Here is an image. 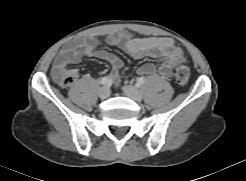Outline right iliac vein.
Wrapping results in <instances>:
<instances>
[{"instance_id":"1","label":"right iliac vein","mask_w":246,"mask_h":181,"mask_svg":"<svg viewBox=\"0 0 246 181\" xmlns=\"http://www.w3.org/2000/svg\"><path fill=\"white\" fill-rule=\"evenodd\" d=\"M98 95L101 99H106L110 95V89L107 86H104L99 89Z\"/></svg>"}]
</instances>
